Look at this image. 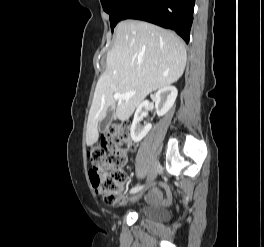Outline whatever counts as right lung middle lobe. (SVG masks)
Returning <instances> with one entry per match:
<instances>
[{"label":"right lung middle lobe","instance_id":"1","mask_svg":"<svg viewBox=\"0 0 264 247\" xmlns=\"http://www.w3.org/2000/svg\"><path fill=\"white\" fill-rule=\"evenodd\" d=\"M132 2L133 0H101L104 11L110 16L112 31Z\"/></svg>","mask_w":264,"mask_h":247}]
</instances>
